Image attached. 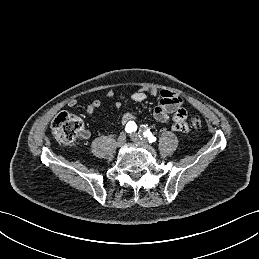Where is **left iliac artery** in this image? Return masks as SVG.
<instances>
[{"label": "left iliac artery", "mask_w": 259, "mask_h": 259, "mask_svg": "<svg viewBox=\"0 0 259 259\" xmlns=\"http://www.w3.org/2000/svg\"><path fill=\"white\" fill-rule=\"evenodd\" d=\"M139 136L142 138H147L149 143H153L156 141V137L154 135H152V133L150 132L149 129L146 130H140L139 132Z\"/></svg>", "instance_id": "44dca946"}]
</instances>
